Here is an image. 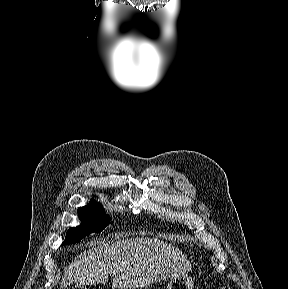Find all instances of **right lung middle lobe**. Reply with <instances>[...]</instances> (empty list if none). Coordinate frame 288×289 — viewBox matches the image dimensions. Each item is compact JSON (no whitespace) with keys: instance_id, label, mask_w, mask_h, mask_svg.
<instances>
[{"instance_id":"obj_1","label":"right lung middle lobe","mask_w":288,"mask_h":289,"mask_svg":"<svg viewBox=\"0 0 288 289\" xmlns=\"http://www.w3.org/2000/svg\"><path fill=\"white\" fill-rule=\"evenodd\" d=\"M78 216L82 221L81 225L68 230L63 245L78 243L82 237L89 236L93 232H101L110 223V217L97 203L79 208Z\"/></svg>"}]
</instances>
